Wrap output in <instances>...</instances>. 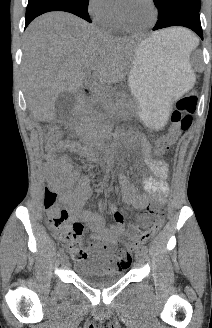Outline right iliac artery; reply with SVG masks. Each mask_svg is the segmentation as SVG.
<instances>
[{
	"label": "right iliac artery",
	"instance_id": "right-iliac-artery-1",
	"mask_svg": "<svg viewBox=\"0 0 212 328\" xmlns=\"http://www.w3.org/2000/svg\"><path fill=\"white\" fill-rule=\"evenodd\" d=\"M64 254V249L63 248H60L59 251H58V255L59 256H62Z\"/></svg>",
	"mask_w": 212,
	"mask_h": 328
}]
</instances>
